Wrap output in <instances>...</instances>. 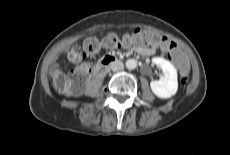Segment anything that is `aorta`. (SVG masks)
Wrapping results in <instances>:
<instances>
[{
    "instance_id": "762f6f07",
    "label": "aorta",
    "mask_w": 230,
    "mask_h": 155,
    "mask_svg": "<svg viewBox=\"0 0 230 155\" xmlns=\"http://www.w3.org/2000/svg\"><path fill=\"white\" fill-rule=\"evenodd\" d=\"M126 67L129 70H133L137 67V61L135 59H128L126 61Z\"/></svg>"
}]
</instances>
